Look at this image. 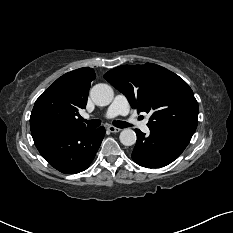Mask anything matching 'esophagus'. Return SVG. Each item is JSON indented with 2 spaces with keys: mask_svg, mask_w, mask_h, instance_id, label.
Wrapping results in <instances>:
<instances>
[{
  "mask_svg": "<svg viewBox=\"0 0 233 233\" xmlns=\"http://www.w3.org/2000/svg\"><path fill=\"white\" fill-rule=\"evenodd\" d=\"M107 130H108L109 132H111V133H118V132H120L121 129L116 128V127H114V126H108V127H107Z\"/></svg>",
  "mask_w": 233,
  "mask_h": 233,
  "instance_id": "1",
  "label": "esophagus"
}]
</instances>
